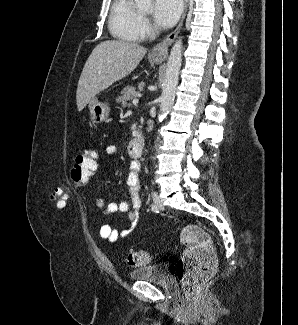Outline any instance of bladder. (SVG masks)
Listing matches in <instances>:
<instances>
[{
    "label": "bladder",
    "instance_id": "1",
    "mask_svg": "<svg viewBox=\"0 0 298 325\" xmlns=\"http://www.w3.org/2000/svg\"><path fill=\"white\" fill-rule=\"evenodd\" d=\"M130 278L134 281H145L156 284L165 289L174 287L173 277L161 265H145L133 270L130 273Z\"/></svg>",
    "mask_w": 298,
    "mask_h": 325
}]
</instances>
